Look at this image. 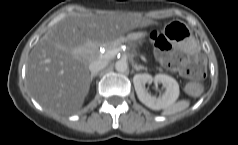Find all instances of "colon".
<instances>
[{"label": "colon", "mask_w": 238, "mask_h": 145, "mask_svg": "<svg viewBox=\"0 0 238 145\" xmlns=\"http://www.w3.org/2000/svg\"><path fill=\"white\" fill-rule=\"evenodd\" d=\"M151 39L164 66L191 78L192 81L187 85V92L191 95H198L202 91L200 81L206 75L205 58L199 55L187 56L171 51L170 42L157 32L151 34Z\"/></svg>", "instance_id": "colon-1"}]
</instances>
